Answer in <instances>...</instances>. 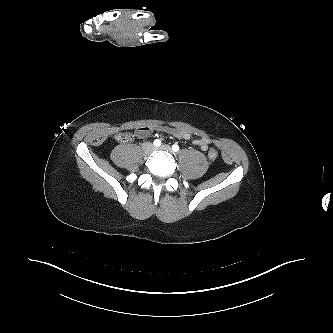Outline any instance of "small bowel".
Returning a JSON list of instances; mask_svg holds the SVG:
<instances>
[{"instance_id":"1","label":"small bowel","mask_w":333,"mask_h":333,"mask_svg":"<svg viewBox=\"0 0 333 333\" xmlns=\"http://www.w3.org/2000/svg\"><path fill=\"white\" fill-rule=\"evenodd\" d=\"M154 130L164 132L170 135H173L181 139H191V134L183 129L178 127H169V126H158V127H139L135 130V136L137 138H145L149 136ZM209 139L207 137H200L193 139V143L201 148V150L206 151L209 145Z\"/></svg>"}]
</instances>
